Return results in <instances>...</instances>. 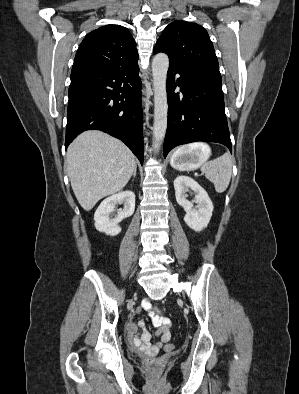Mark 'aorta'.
Listing matches in <instances>:
<instances>
[{
  "label": "aorta",
  "mask_w": 299,
  "mask_h": 394,
  "mask_svg": "<svg viewBox=\"0 0 299 394\" xmlns=\"http://www.w3.org/2000/svg\"><path fill=\"white\" fill-rule=\"evenodd\" d=\"M169 67V58L165 53H158L152 61V75L154 87V125H153V145L155 149L165 136L167 129V92L166 79Z\"/></svg>",
  "instance_id": "aorta-1"
}]
</instances>
